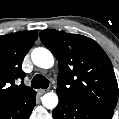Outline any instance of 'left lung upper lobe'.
Returning <instances> with one entry per match:
<instances>
[{
	"label": "left lung upper lobe",
	"instance_id": "obj_1",
	"mask_svg": "<svg viewBox=\"0 0 119 119\" xmlns=\"http://www.w3.org/2000/svg\"><path fill=\"white\" fill-rule=\"evenodd\" d=\"M40 38L58 60V96L115 109L118 85L112 63L93 39L53 29L42 30Z\"/></svg>",
	"mask_w": 119,
	"mask_h": 119
}]
</instances>
